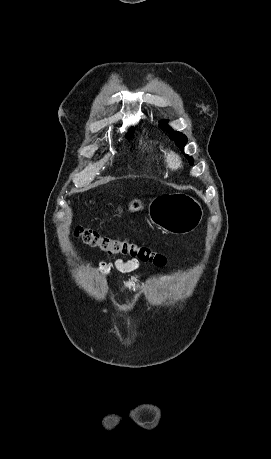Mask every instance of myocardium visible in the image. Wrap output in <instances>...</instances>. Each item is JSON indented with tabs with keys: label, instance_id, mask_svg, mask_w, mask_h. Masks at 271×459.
Instances as JSON below:
<instances>
[{
	"label": "myocardium",
	"instance_id": "f54148a6",
	"mask_svg": "<svg viewBox=\"0 0 271 459\" xmlns=\"http://www.w3.org/2000/svg\"><path fill=\"white\" fill-rule=\"evenodd\" d=\"M166 162L171 169L177 170L183 165V157L178 151L170 150L166 153Z\"/></svg>",
	"mask_w": 271,
	"mask_h": 459
}]
</instances>
